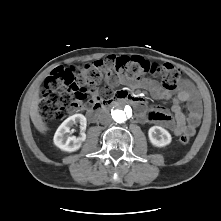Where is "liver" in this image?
Returning <instances> with one entry per match:
<instances>
[{
  "label": "liver",
  "instance_id": "liver-1",
  "mask_svg": "<svg viewBox=\"0 0 221 221\" xmlns=\"http://www.w3.org/2000/svg\"><path fill=\"white\" fill-rule=\"evenodd\" d=\"M39 103H40L39 92L38 90H36L30 106V117L35 128L39 132L45 133L48 128L43 120V117L39 113Z\"/></svg>",
  "mask_w": 221,
  "mask_h": 221
}]
</instances>
